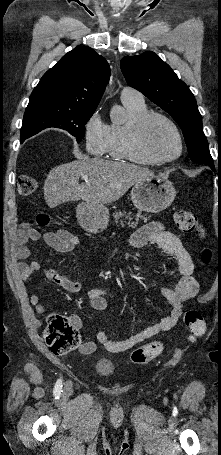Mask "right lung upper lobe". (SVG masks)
Masks as SVG:
<instances>
[{"instance_id": "right-lung-upper-lobe-1", "label": "right lung upper lobe", "mask_w": 221, "mask_h": 455, "mask_svg": "<svg viewBox=\"0 0 221 455\" xmlns=\"http://www.w3.org/2000/svg\"><path fill=\"white\" fill-rule=\"evenodd\" d=\"M110 77L106 59L87 46H77L41 78L29 104L96 110Z\"/></svg>"}]
</instances>
